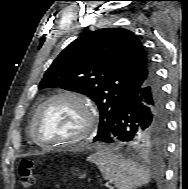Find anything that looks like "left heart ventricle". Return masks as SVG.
Wrapping results in <instances>:
<instances>
[{"instance_id": "1", "label": "left heart ventricle", "mask_w": 188, "mask_h": 189, "mask_svg": "<svg viewBox=\"0 0 188 189\" xmlns=\"http://www.w3.org/2000/svg\"><path fill=\"white\" fill-rule=\"evenodd\" d=\"M85 119L78 103L70 99L57 100L47 106L40 116L37 135L44 142L72 138L82 130Z\"/></svg>"}]
</instances>
